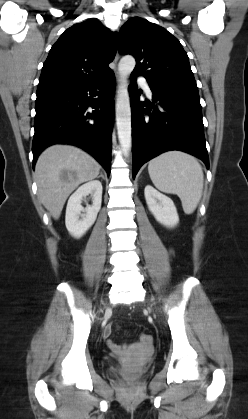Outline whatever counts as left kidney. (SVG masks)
<instances>
[{
    "label": "left kidney",
    "mask_w": 248,
    "mask_h": 419,
    "mask_svg": "<svg viewBox=\"0 0 248 419\" xmlns=\"http://www.w3.org/2000/svg\"><path fill=\"white\" fill-rule=\"evenodd\" d=\"M145 199L150 212L162 225L173 228L179 222L176 207L166 195L147 185L144 190Z\"/></svg>",
    "instance_id": "1"
}]
</instances>
